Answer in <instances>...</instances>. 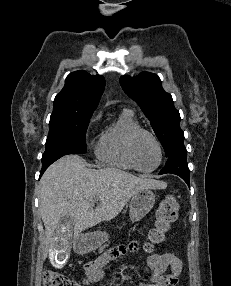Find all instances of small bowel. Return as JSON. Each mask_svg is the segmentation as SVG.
I'll use <instances>...</instances> for the list:
<instances>
[{"instance_id":"c3829d8e","label":"small bowel","mask_w":231,"mask_h":286,"mask_svg":"<svg viewBox=\"0 0 231 286\" xmlns=\"http://www.w3.org/2000/svg\"><path fill=\"white\" fill-rule=\"evenodd\" d=\"M139 249L138 241H131L126 245L113 248L94 261L87 262L83 265L84 278L82 286H89L101 280L104 276L105 266L129 252H135ZM147 264L151 269V282L140 283L138 286H176L182 271V261L175 251H164L154 253L148 256ZM170 269V273L167 270Z\"/></svg>"}]
</instances>
